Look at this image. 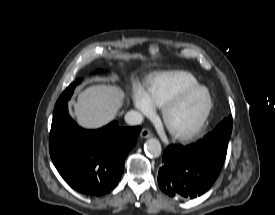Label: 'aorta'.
<instances>
[{"label":"aorta","instance_id":"aorta-1","mask_svg":"<svg viewBox=\"0 0 275 215\" xmlns=\"http://www.w3.org/2000/svg\"><path fill=\"white\" fill-rule=\"evenodd\" d=\"M144 150L147 156L157 158L161 155L162 147L157 139L151 138L146 141Z\"/></svg>","mask_w":275,"mask_h":215}]
</instances>
